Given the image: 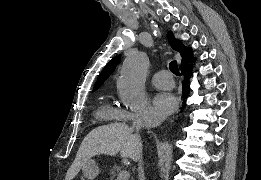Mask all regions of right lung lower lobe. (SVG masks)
<instances>
[{
	"instance_id": "98d812e1",
	"label": "right lung lower lobe",
	"mask_w": 261,
	"mask_h": 180,
	"mask_svg": "<svg viewBox=\"0 0 261 180\" xmlns=\"http://www.w3.org/2000/svg\"><path fill=\"white\" fill-rule=\"evenodd\" d=\"M190 71H191V68H188L187 65L182 67V74L184 75V80H183V83H182L183 100L188 98V94H189V91H190V85H189V82H188V79L190 77ZM185 102L186 101H184V103ZM184 106L182 107V109L184 108Z\"/></svg>"
}]
</instances>
